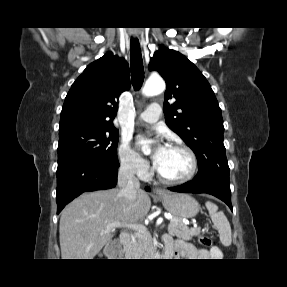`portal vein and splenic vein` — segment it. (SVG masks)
<instances>
[{"label": "portal vein and splenic vein", "instance_id": "18ae733b", "mask_svg": "<svg viewBox=\"0 0 287 287\" xmlns=\"http://www.w3.org/2000/svg\"><path fill=\"white\" fill-rule=\"evenodd\" d=\"M167 219L173 220L171 217H166ZM117 227H124V228H130L132 230H135L137 232H146V228L142 225H138V224H123L121 222H114L111 223L109 225L106 226V231H110L113 228H117Z\"/></svg>", "mask_w": 287, "mask_h": 287}]
</instances>
